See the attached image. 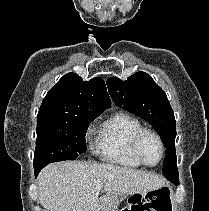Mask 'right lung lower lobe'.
<instances>
[{
  "label": "right lung lower lobe",
  "instance_id": "right-lung-lower-lobe-1",
  "mask_svg": "<svg viewBox=\"0 0 209 211\" xmlns=\"http://www.w3.org/2000/svg\"><path fill=\"white\" fill-rule=\"evenodd\" d=\"M42 168H34V170H35V176H37L38 175V173L40 172V170H41Z\"/></svg>",
  "mask_w": 209,
  "mask_h": 211
}]
</instances>
